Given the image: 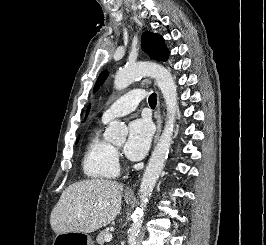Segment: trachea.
<instances>
[{"label": "trachea", "instance_id": "1", "mask_svg": "<svg viewBox=\"0 0 266 245\" xmlns=\"http://www.w3.org/2000/svg\"><path fill=\"white\" fill-rule=\"evenodd\" d=\"M148 101H149V105H156V102H157V98H156V94L155 93H152L149 98H148Z\"/></svg>", "mask_w": 266, "mask_h": 245}]
</instances>
